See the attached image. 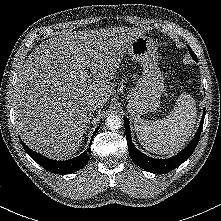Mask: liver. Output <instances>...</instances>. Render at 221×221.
<instances>
[{"label":"liver","mask_w":221,"mask_h":221,"mask_svg":"<svg viewBox=\"0 0 221 221\" xmlns=\"http://www.w3.org/2000/svg\"><path fill=\"white\" fill-rule=\"evenodd\" d=\"M140 34L129 27L74 31L37 46L15 87V124L26 145L56 160L72 156L91 119L87 102L108 101L121 59ZM83 68L93 77H82Z\"/></svg>","instance_id":"obj_1"}]
</instances>
